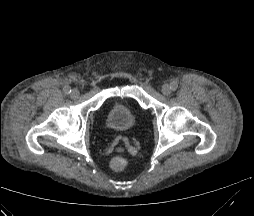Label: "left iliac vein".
<instances>
[{
	"label": "left iliac vein",
	"instance_id": "4c4485c4",
	"mask_svg": "<svg viewBox=\"0 0 254 216\" xmlns=\"http://www.w3.org/2000/svg\"><path fill=\"white\" fill-rule=\"evenodd\" d=\"M162 93L166 96L171 94V87L168 84L162 85Z\"/></svg>",
	"mask_w": 254,
	"mask_h": 216
}]
</instances>
